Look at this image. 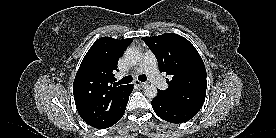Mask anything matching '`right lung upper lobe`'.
Listing matches in <instances>:
<instances>
[{"label":"right lung upper lobe","mask_w":276,"mask_h":138,"mask_svg":"<svg viewBox=\"0 0 276 138\" xmlns=\"http://www.w3.org/2000/svg\"><path fill=\"white\" fill-rule=\"evenodd\" d=\"M133 39L102 37L91 46L75 76L73 94L77 111L90 126L108 128L126 109L131 84L118 86L114 71L119 58Z\"/></svg>","instance_id":"obj_1"}]
</instances>
